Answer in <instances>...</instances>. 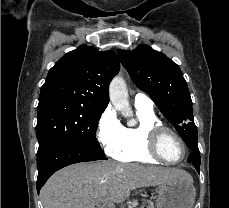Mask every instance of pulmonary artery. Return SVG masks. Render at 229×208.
Returning <instances> with one entry per match:
<instances>
[{
    "label": "pulmonary artery",
    "mask_w": 229,
    "mask_h": 208,
    "mask_svg": "<svg viewBox=\"0 0 229 208\" xmlns=\"http://www.w3.org/2000/svg\"><path fill=\"white\" fill-rule=\"evenodd\" d=\"M135 107L153 109L152 100L145 94L139 93L135 96L134 100Z\"/></svg>",
    "instance_id": "obj_1"
}]
</instances>
